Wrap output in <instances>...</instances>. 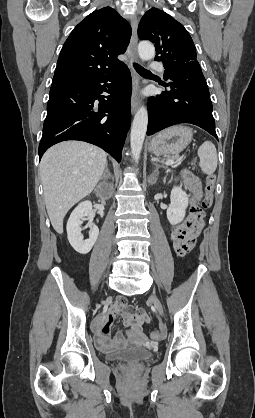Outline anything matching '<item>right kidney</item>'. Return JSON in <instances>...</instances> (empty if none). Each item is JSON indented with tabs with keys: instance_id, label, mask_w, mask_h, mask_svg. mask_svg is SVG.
<instances>
[{
	"instance_id": "1",
	"label": "right kidney",
	"mask_w": 255,
	"mask_h": 418,
	"mask_svg": "<svg viewBox=\"0 0 255 418\" xmlns=\"http://www.w3.org/2000/svg\"><path fill=\"white\" fill-rule=\"evenodd\" d=\"M102 204H105V201L102 200ZM87 217L89 221V227L91 228L89 233V238L84 240L81 233V225L84 218ZM93 218L92 203L90 201H83L73 210L71 213L68 222H67V235L68 240L71 246L80 254H87L90 252L94 246L98 235L99 229L95 224L91 223Z\"/></svg>"
}]
</instances>
